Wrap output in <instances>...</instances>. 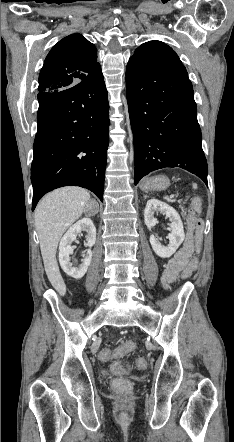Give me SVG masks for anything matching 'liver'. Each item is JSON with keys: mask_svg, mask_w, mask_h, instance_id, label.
Here are the masks:
<instances>
[{"mask_svg": "<svg viewBox=\"0 0 234 442\" xmlns=\"http://www.w3.org/2000/svg\"><path fill=\"white\" fill-rule=\"evenodd\" d=\"M87 205H90V195L85 189L63 187L44 196L35 210V227L45 271L61 296L66 293V285L56 259L57 246L64 232L81 217Z\"/></svg>", "mask_w": 234, "mask_h": 442, "instance_id": "obj_1", "label": "liver"}]
</instances>
